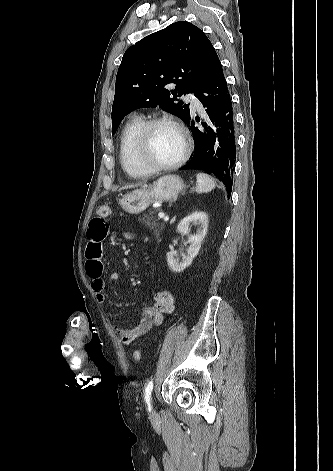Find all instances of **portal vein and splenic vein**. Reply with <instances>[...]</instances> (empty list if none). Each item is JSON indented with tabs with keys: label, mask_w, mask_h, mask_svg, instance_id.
Here are the masks:
<instances>
[{
	"label": "portal vein and splenic vein",
	"mask_w": 333,
	"mask_h": 471,
	"mask_svg": "<svg viewBox=\"0 0 333 471\" xmlns=\"http://www.w3.org/2000/svg\"><path fill=\"white\" fill-rule=\"evenodd\" d=\"M158 217L161 219H164L165 221L169 220V218L163 212H159Z\"/></svg>",
	"instance_id": "18ae733b"
}]
</instances>
